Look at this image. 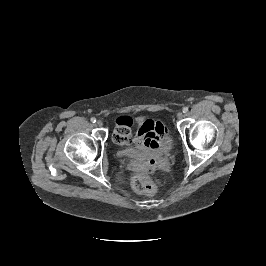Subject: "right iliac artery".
Here are the masks:
<instances>
[{"mask_svg": "<svg viewBox=\"0 0 266 266\" xmlns=\"http://www.w3.org/2000/svg\"><path fill=\"white\" fill-rule=\"evenodd\" d=\"M91 122L92 123H95L96 122V119L93 117V118H91Z\"/></svg>", "mask_w": 266, "mask_h": 266, "instance_id": "82829eb1", "label": "right iliac artery"}]
</instances>
